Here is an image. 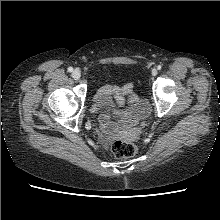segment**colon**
I'll return each mask as SVG.
<instances>
[{
	"mask_svg": "<svg viewBox=\"0 0 220 220\" xmlns=\"http://www.w3.org/2000/svg\"><path fill=\"white\" fill-rule=\"evenodd\" d=\"M112 151L117 158H130L135 155L136 147L133 143L127 141H116Z\"/></svg>",
	"mask_w": 220,
	"mask_h": 220,
	"instance_id": "5ec220e1",
	"label": "colon"
}]
</instances>
